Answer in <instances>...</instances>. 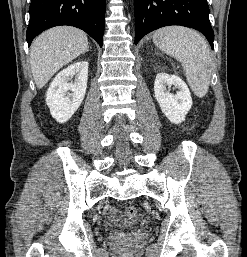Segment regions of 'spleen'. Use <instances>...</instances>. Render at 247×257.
<instances>
[{
	"label": "spleen",
	"mask_w": 247,
	"mask_h": 257,
	"mask_svg": "<svg viewBox=\"0 0 247 257\" xmlns=\"http://www.w3.org/2000/svg\"><path fill=\"white\" fill-rule=\"evenodd\" d=\"M153 42L181 63L194 94L204 97L211 78L210 50L204 38L192 29L171 26L157 30Z\"/></svg>",
	"instance_id": "1"
}]
</instances>
